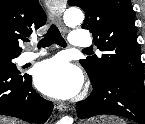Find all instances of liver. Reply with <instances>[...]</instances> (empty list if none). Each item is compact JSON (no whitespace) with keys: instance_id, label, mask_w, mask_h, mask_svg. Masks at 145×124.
Here are the masks:
<instances>
[{"instance_id":"obj_1","label":"liver","mask_w":145,"mask_h":124,"mask_svg":"<svg viewBox=\"0 0 145 124\" xmlns=\"http://www.w3.org/2000/svg\"><path fill=\"white\" fill-rule=\"evenodd\" d=\"M0 124H20L19 122H17L14 119H4V118H0Z\"/></svg>"}]
</instances>
